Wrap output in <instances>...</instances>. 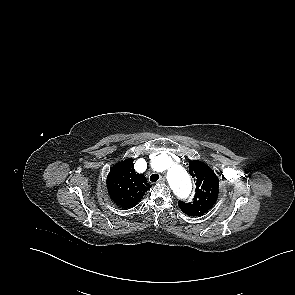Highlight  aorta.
I'll use <instances>...</instances> for the list:
<instances>
[{
    "mask_svg": "<svg viewBox=\"0 0 295 295\" xmlns=\"http://www.w3.org/2000/svg\"><path fill=\"white\" fill-rule=\"evenodd\" d=\"M162 162L167 169V180L173 192L180 198H186L191 192L189 175L182 166L172 162L168 156H162Z\"/></svg>",
    "mask_w": 295,
    "mask_h": 295,
    "instance_id": "762f6f07",
    "label": "aorta"
}]
</instances>
